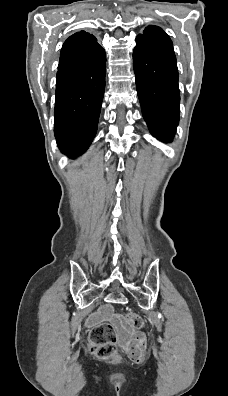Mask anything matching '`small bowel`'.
<instances>
[{"mask_svg": "<svg viewBox=\"0 0 228 396\" xmlns=\"http://www.w3.org/2000/svg\"><path fill=\"white\" fill-rule=\"evenodd\" d=\"M104 316H109L115 327L120 331L122 344L131 359L136 362H142L146 356V337L141 332H134L131 338H128L124 332L123 320L118 315H111L110 308L104 311Z\"/></svg>", "mask_w": 228, "mask_h": 396, "instance_id": "c3829d8e", "label": "small bowel"}]
</instances>
